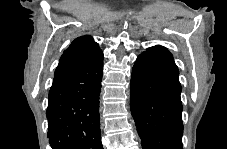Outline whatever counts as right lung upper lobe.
Masks as SVG:
<instances>
[{
    "mask_svg": "<svg viewBox=\"0 0 227 149\" xmlns=\"http://www.w3.org/2000/svg\"><path fill=\"white\" fill-rule=\"evenodd\" d=\"M103 57L98 44L89 35L76 38L62 54L54 75L94 63Z\"/></svg>",
    "mask_w": 227,
    "mask_h": 149,
    "instance_id": "cb5924a9",
    "label": "right lung upper lobe"
}]
</instances>
